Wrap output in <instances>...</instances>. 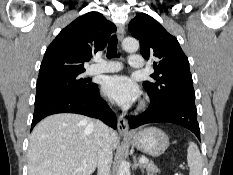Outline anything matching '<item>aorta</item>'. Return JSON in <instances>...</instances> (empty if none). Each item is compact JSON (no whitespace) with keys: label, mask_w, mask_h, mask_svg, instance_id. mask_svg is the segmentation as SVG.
<instances>
[{"label":"aorta","mask_w":233,"mask_h":175,"mask_svg":"<svg viewBox=\"0 0 233 175\" xmlns=\"http://www.w3.org/2000/svg\"><path fill=\"white\" fill-rule=\"evenodd\" d=\"M122 47L129 53H134L139 49V42L134 38H125ZM118 175H130V168L126 161H122L119 165Z\"/></svg>","instance_id":"obj_1"}]
</instances>
